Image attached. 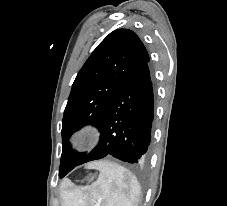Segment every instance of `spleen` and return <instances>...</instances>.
Masks as SVG:
<instances>
[{"mask_svg": "<svg viewBox=\"0 0 227 206\" xmlns=\"http://www.w3.org/2000/svg\"><path fill=\"white\" fill-rule=\"evenodd\" d=\"M94 168L100 171L96 183L88 187L64 188L61 193L63 206H89L97 201H102V206H138L141 186L133 174L109 161L98 162Z\"/></svg>", "mask_w": 227, "mask_h": 206, "instance_id": "obj_1", "label": "spleen"}]
</instances>
